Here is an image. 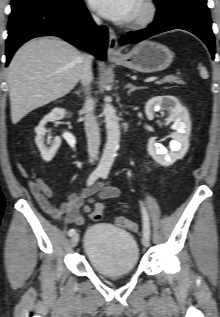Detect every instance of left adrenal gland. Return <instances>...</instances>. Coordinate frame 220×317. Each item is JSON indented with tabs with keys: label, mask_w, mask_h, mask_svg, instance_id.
Returning <instances> with one entry per match:
<instances>
[{
	"label": "left adrenal gland",
	"mask_w": 220,
	"mask_h": 317,
	"mask_svg": "<svg viewBox=\"0 0 220 317\" xmlns=\"http://www.w3.org/2000/svg\"><path fill=\"white\" fill-rule=\"evenodd\" d=\"M125 88H128V89H129L127 93L130 94L132 91H135V90H137V89H140L141 87H136V86L132 85L131 83H128V84L125 86Z\"/></svg>",
	"instance_id": "a2214340"
}]
</instances>
